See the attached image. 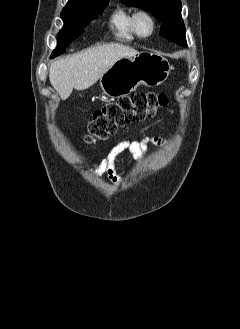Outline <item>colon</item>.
<instances>
[{
  "label": "colon",
  "mask_w": 240,
  "mask_h": 329,
  "mask_svg": "<svg viewBox=\"0 0 240 329\" xmlns=\"http://www.w3.org/2000/svg\"><path fill=\"white\" fill-rule=\"evenodd\" d=\"M166 104L167 97L159 92L135 93L108 103L94 112L86 140L105 139L124 125L153 117Z\"/></svg>",
  "instance_id": "colon-1"
}]
</instances>
